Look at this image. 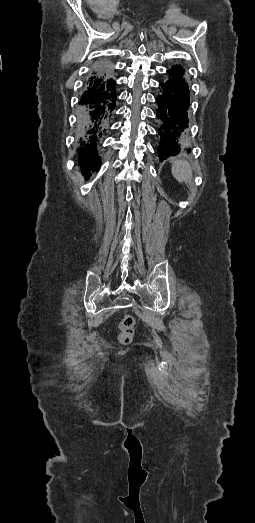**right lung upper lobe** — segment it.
Segmentation results:
<instances>
[{
  "label": "right lung upper lobe",
  "instance_id": "1",
  "mask_svg": "<svg viewBox=\"0 0 255 523\" xmlns=\"http://www.w3.org/2000/svg\"><path fill=\"white\" fill-rule=\"evenodd\" d=\"M92 97H97L100 100V105L97 108H92L89 105L87 111L80 109L81 132H80V149L78 155L79 165L83 169H96L101 165V160L98 157L97 145L105 132L111 117L116 109L117 94L116 82L112 78L110 70L105 65H97V67L90 73V77L86 82V91L81 96L79 105L82 102H87ZM90 126L92 133L87 135L85 128ZM91 141L93 149L86 151L84 143Z\"/></svg>",
  "mask_w": 255,
  "mask_h": 523
}]
</instances>
